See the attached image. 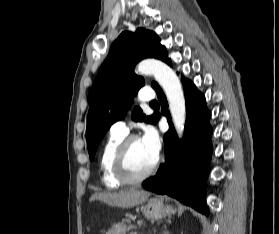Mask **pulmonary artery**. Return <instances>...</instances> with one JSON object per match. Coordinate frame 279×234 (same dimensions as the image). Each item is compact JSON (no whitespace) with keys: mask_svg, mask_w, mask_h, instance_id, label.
I'll return each instance as SVG.
<instances>
[{"mask_svg":"<svg viewBox=\"0 0 279 234\" xmlns=\"http://www.w3.org/2000/svg\"><path fill=\"white\" fill-rule=\"evenodd\" d=\"M139 101L142 102H149L154 99V92L152 89H142L138 95ZM112 133H118V134H126L128 132V127L126 125V122L124 120L116 121L111 126Z\"/></svg>","mask_w":279,"mask_h":234,"instance_id":"obj_1","label":"pulmonary artery"}]
</instances>
